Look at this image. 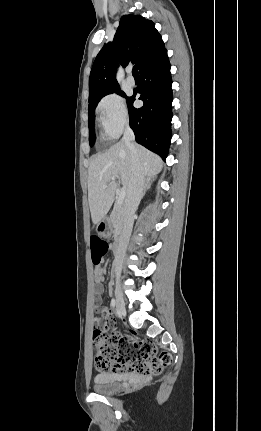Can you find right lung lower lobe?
Masks as SVG:
<instances>
[{
    "mask_svg": "<svg viewBox=\"0 0 261 431\" xmlns=\"http://www.w3.org/2000/svg\"><path fill=\"white\" fill-rule=\"evenodd\" d=\"M139 73L141 84L127 99L130 127L138 143L165 160L171 141L173 100L167 50L145 64ZM136 94L144 102L139 109L133 107Z\"/></svg>",
    "mask_w": 261,
    "mask_h": 431,
    "instance_id": "right-lung-lower-lobe-1",
    "label": "right lung lower lobe"
}]
</instances>
